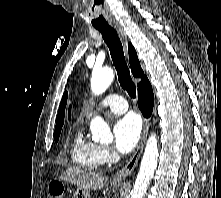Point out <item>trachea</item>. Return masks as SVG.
<instances>
[{"label": "trachea", "mask_w": 221, "mask_h": 198, "mask_svg": "<svg viewBox=\"0 0 221 198\" xmlns=\"http://www.w3.org/2000/svg\"><path fill=\"white\" fill-rule=\"evenodd\" d=\"M96 29L100 31L110 50L111 58L117 71L121 87L127 91L131 98H135L136 86L131 79L130 71L125 61L122 43L116 30L111 26L97 27Z\"/></svg>", "instance_id": "obj_1"}]
</instances>
